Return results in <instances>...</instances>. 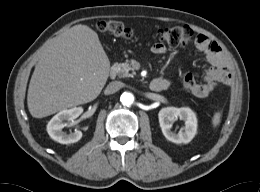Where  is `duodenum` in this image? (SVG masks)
<instances>
[{
    "label": "duodenum",
    "instance_id": "duodenum-1",
    "mask_svg": "<svg viewBox=\"0 0 260 192\" xmlns=\"http://www.w3.org/2000/svg\"><path fill=\"white\" fill-rule=\"evenodd\" d=\"M115 75H116V71L114 69H111L110 77L114 78ZM149 87L152 91L159 92V91L166 89V83L162 79L157 78V79H154L151 81Z\"/></svg>",
    "mask_w": 260,
    "mask_h": 192
}]
</instances>
